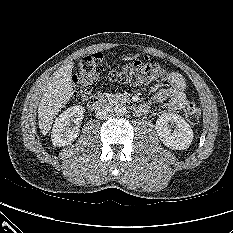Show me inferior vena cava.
<instances>
[{
  "instance_id": "1",
  "label": "inferior vena cava",
  "mask_w": 233,
  "mask_h": 233,
  "mask_svg": "<svg viewBox=\"0 0 233 233\" xmlns=\"http://www.w3.org/2000/svg\"><path fill=\"white\" fill-rule=\"evenodd\" d=\"M113 112V109L111 106L107 105V104H102L99 107L96 108V117L98 119H107L108 117L111 116Z\"/></svg>"
}]
</instances>
